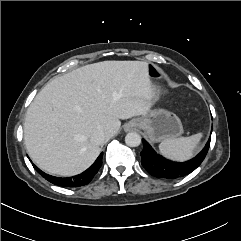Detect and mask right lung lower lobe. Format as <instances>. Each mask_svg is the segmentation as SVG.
Instances as JSON below:
<instances>
[{
	"label": "right lung lower lobe",
	"instance_id": "obj_1",
	"mask_svg": "<svg viewBox=\"0 0 241 241\" xmlns=\"http://www.w3.org/2000/svg\"><path fill=\"white\" fill-rule=\"evenodd\" d=\"M102 156L103 153L99 155V157L96 159L94 164L90 166L86 171L83 173L68 177V178H59V177H53L51 175H48L44 172H42L39 168H37L35 165L34 168L39 172L46 180L49 182L63 187H79L88 184L94 177V175L98 172L99 168L102 165Z\"/></svg>",
	"mask_w": 241,
	"mask_h": 241
}]
</instances>
